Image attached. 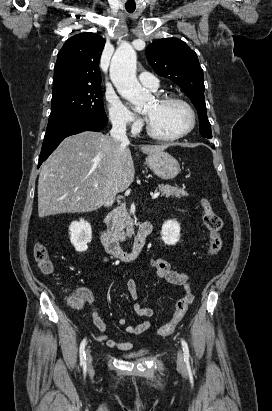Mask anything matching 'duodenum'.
Wrapping results in <instances>:
<instances>
[{"instance_id":"410a0bca","label":"duodenum","mask_w":272,"mask_h":411,"mask_svg":"<svg viewBox=\"0 0 272 411\" xmlns=\"http://www.w3.org/2000/svg\"><path fill=\"white\" fill-rule=\"evenodd\" d=\"M153 225L151 222H144L138 229L132 248L130 251H124L120 248L118 240L109 232L98 228L97 236L106 251L115 258L125 262L134 260L145 248L146 239L152 233Z\"/></svg>"}]
</instances>
